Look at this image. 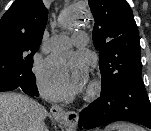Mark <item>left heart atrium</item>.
I'll return each instance as SVG.
<instances>
[{
  "label": "left heart atrium",
  "instance_id": "left-heart-atrium-1",
  "mask_svg": "<svg viewBox=\"0 0 151 131\" xmlns=\"http://www.w3.org/2000/svg\"><path fill=\"white\" fill-rule=\"evenodd\" d=\"M88 77V62L83 55L58 53L41 65L38 73L39 87L49 99H68L77 94Z\"/></svg>",
  "mask_w": 151,
  "mask_h": 131
}]
</instances>
